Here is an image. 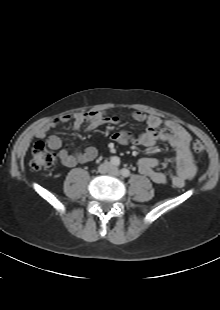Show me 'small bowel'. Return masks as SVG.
<instances>
[{
  "instance_id": "small-bowel-1",
  "label": "small bowel",
  "mask_w": 220,
  "mask_h": 310,
  "mask_svg": "<svg viewBox=\"0 0 220 310\" xmlns=\"http://www.w3.org/2000/svg\"><path fill=\"white\" fill-rule=\"evenodd\" d=\"M131 117L138 122H145L147 128L138 136L127 131H117L111 134L113 143H135L143 147H151L156 141L167 142L175 150V172L167 175L158 170L160 162L156 158L143 157L137 162L139 172L156 184H165L171 181L176 187H183L196 174V165L190 150L191 136L187 130L172 120H163L152 114L141 111H133ZM73 120L75 131H92L102 125H117L120 118L116 115H108L104 111L79 112L72 116L64 115L56 117L40 127L36 133L37 138L44 140L47 145L58 151L61 163L66 167H74L95 160L98 150L89 146L84 150L70 152L63 147L62 140L56 135H50L49 131L62 123Z\"/></svg>"
}]
</instances>
